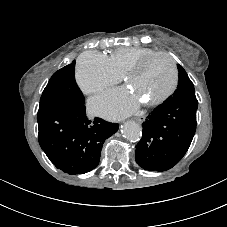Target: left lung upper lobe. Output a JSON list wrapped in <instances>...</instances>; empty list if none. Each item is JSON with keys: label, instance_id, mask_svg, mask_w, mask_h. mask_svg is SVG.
Returning <instances> with one entry per match:
<instances>
[{"label": "left lung upper lobe", "instance_id": "1", "mask_svg": "<svg viewBox=\"0 0 227 227\" xmlns=\"http://www.w3.org/2000/svg\"><path fill=\"white\" fill-rule=\"evenodd\" d=\"M179 69V82L177 89L169 98L177 97V98H195V90L194 85L189 79L186 71L183 69L181 65H178Z\"/></svg>", "mask_w": 227, "mask_h": 227}]
</instances>
